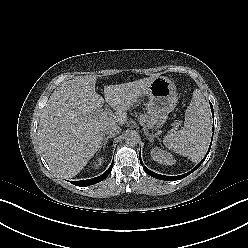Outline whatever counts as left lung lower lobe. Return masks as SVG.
Returning a JSON list of instances; mask_svg holds the SVG:
<instances>
[{
    "label": "left lung lower lobe",
    "mask_w": 248,
    "mask_h": 248,
    "mask_svg": "<svg viewBox=\"0 0 248 248\" xmlns=\"http://www.w3.org/2000/svg\"><path fill=\"white\" fill-rule=\"evenodd\" d=\"M210 106H211V110H212V113H213V107H212V104L210 103ZM211 147V145H210ZM210 147L208 149V152L206 154V156L208 155L209 151H210ZM206 156L204 157V159L194 168L192 169L190 172L186 173V174H183V175H179V176H165V175H160V174H156L152 171H150L147 167H143L144 171L154 177V178H157V179H160V180H165V181H176V180H180V179H183L185 178L186 176H188L189 174H191L193 171H195L202 163L203 161L205 160ZM139 158H140V163L141 165L143 166V163H142V160H141V155L139 154Z\"/></svg>",
    "instance_id": "0a47b994"
}]
</instances>
